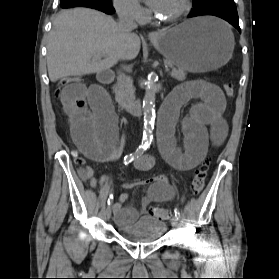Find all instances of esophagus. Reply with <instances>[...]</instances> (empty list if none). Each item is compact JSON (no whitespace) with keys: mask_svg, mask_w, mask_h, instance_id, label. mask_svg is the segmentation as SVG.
Instances as JSON below:
<instances>
[{"mask_svg":"<svg viewBox=\"0 0 279 279\" xmlns=\"http://www.w3.org/2000/svg\"><path fill=\"white\" fill-rule=\"evenodd\" d=\"M159 36V33L157 31H152L149 33V38L150 39H155Z\"/></svg>","mask_w":279,"mask_h":279,"instance_id":"esophagus-1","label":"esophagus"}]
</instances>
